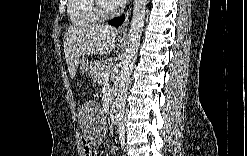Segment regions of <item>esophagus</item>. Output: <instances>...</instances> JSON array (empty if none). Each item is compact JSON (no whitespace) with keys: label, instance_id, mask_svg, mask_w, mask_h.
I'll use <instances>...</instances> for the list:
<instances>
[{"label":"esophagus","instance_id":"obj_1","mask_svg":"<svg viewBox=\"0 0 247 156\" xmlns=\"http://www.w3.org/2000/svg\"><path fill=\"white\" fill-rule=\"evenodd\" d=\"M131 9H132V7H131V5L129 6V8H128V10H127V12H126V19H125V21L122 23V25L118 28V33H126L127 32V28H128V22H129V15H130V13H131Z\"/></svg>","mask_w":247,"mask_h":156}]
</instances>
